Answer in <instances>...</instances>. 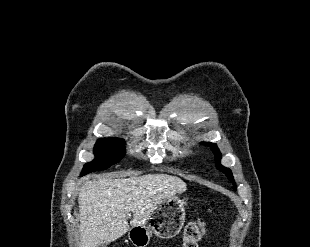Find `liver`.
<instances>
[{
    "mask_svg": "<svg viewBox=\"0 0 310 247\" xmlns=\"http://www.w3.org/2000/svg\"><path fill=\"white\" fill-rule=\"evenodd\" d=\"M186 189V183L168 174H147L130 178L101 177L83 183L78 203L80 211V247L110 243L130 226L142 224L155 207Z\"/></svg>",
    "mask_w": 310,
    "mask_h": 247,
    "instance_id": "1",
    "label": "liver"
}]
</instances>
